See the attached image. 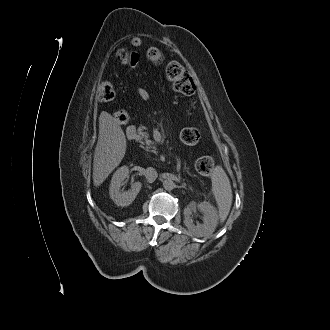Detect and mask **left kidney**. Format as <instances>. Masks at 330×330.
<instances>
[{"label": "left kidney", "instance_id": "1", "mask_svg": "<svg viewBox=\"0 0 330 330\" xmlns=\"http://www.w3.org/2000/svg\"><path fill=\"white\" fill-rule=\"evenodd\" d=\"M196 209H199L203 213V224H193L191 215ZM183 214L185 226L196 237H204L212 234L218 224L217 210L206 201L198 205L190 204L184 209Z\"/></svg>", "mask_w": 330, "mask_h": 330}]
</instances>
